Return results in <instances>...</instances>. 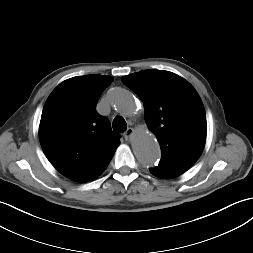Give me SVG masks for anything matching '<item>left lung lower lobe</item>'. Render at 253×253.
Returning <instances> with one entry per match:
<instances>
[{
	"label": "left lung lower lobe",
	"instance_id": "1",
	"mask_svg": "<svg viewBox=\"0 0 253 253\" xmlns=\"http://www.w3.org/2000/svg\"><path fill=\"white\" fill-rule=\"evenodd\" d=\"M187 170L188 169L181 168V167L158 165L155 168H151L150 172L151 174L159 178H173V177L183 174Z\"/></svg>",
	"mask_w": 253,
	"mask_h": 253
}]
</instances>
